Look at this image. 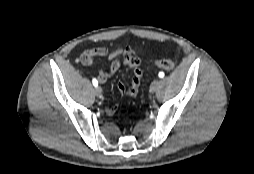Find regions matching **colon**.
<instances>
[{
    "label": "colon",
    "mask_w": 254,
    "mask_h": 174,
    "mask_svg": "<svg viewBox=\"0 0 254 174\" xmlns=\"http://www.w3.org/2000/svg\"><path fill=\"white\" fill-rule=\"evenodd\" d=\"M155 66L162 70H172L175 64L170 59H160L155 62Z\"/></svg>",
    "instance_id": "obj_1"
}]
</instances>
